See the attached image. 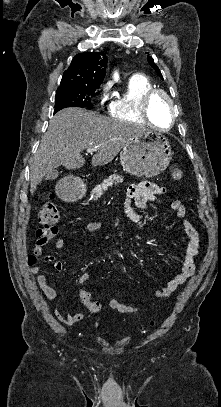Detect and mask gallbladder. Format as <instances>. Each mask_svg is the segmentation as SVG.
Here are the masks:
<instances>
[{"instance_id": "gallbladder-1", "label": "gallbladder", "mask_w": 221, "mask_h": 407, "mask_svg": "<svg viewBox=\"0 0 221 407\" xmlns=\"http://www.w3.org/2000/svg\"><path fill=\"white\" fill-rule=\"evenodd\" d=\"M59 172L56 169H53L52 171L48 172L45 176L46 180H54L58 177Z\"/></svg>"}]
</instances>
